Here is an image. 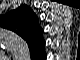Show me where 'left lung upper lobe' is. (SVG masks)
I'll return each instance as SVG.
<instances>
[{
	"mask_svg": "<svg viewBox=\"0 0 80 60\" xmlns=\"http://www.w3.org/2000/svg\"><path fill=\"white\" fill-rule=\"evenodd\" d=\"M0 24L24 38L31 52L40 50L41 28L36 15L28 6L21 5L18 9L1 16Z\"/></svg>",
	"mask_w": 80,
	"mask_h": 60,
	"instance_id": "left-lung-upper-lobe-1",
	"label": "left lung upper lobe"
}]
</instances>
